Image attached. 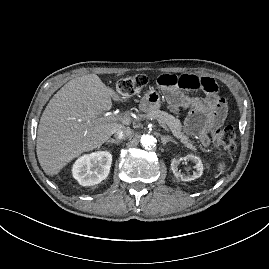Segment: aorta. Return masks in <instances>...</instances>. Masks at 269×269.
<instances>
[{"mask_svg":"<svg viewBox=\"0 0 269 269\" xmlns=\"http://www.w3.org/2000/svg\"><path fill=\"white\" fill-rule=\"evenodd\" d=\"M156 143V139L153 135H150V134H144L142 135L141 137V145L144 147V148H149V147H152L154 146Z\"/></svg>","mask_w":269,"mask_h":269,"instance_id":"1","label":"aorta"}]
</instances>
